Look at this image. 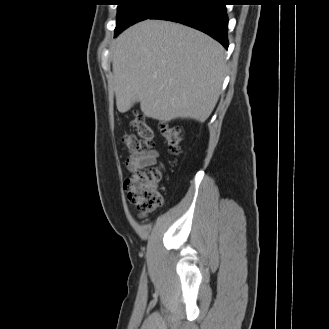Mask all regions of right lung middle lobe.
<instances>
[{
  "mask_svg": "<svg viewBox=\"0 0 329 329\" xmlns=\"http://www.w3.org/2000/svg\"><path fill=\"white\" fill-rule=\"evenodd\" d=\"M117 20L115 36L129 26L150 18L162 7L174 0H116Z\"/></svg>",
  "mask_w": 329,
  "mask_h": 329,
  "instance_id": "obj_1",
  "label": "right lung middle lobe"
}]
</instances>
